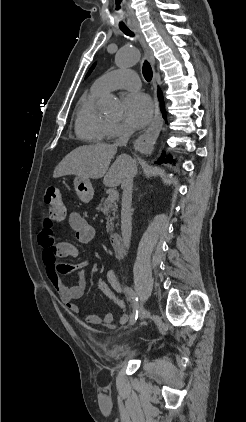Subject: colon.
<instances>
[{"label":"colon","mask_w":246,"mask_h":422,"mask_svg":"<svg viewBox=\"0 0 246 422\" xmlns=\"http://www.w3.org/2000/svg\"><path fill=\"white\" fill-rule=\"evenodd\" d=\"M44 199L49 206L51 218L56 221L62 220L65 216V207L61 190L55 186H49Z\"/></svg>","instance_id":"colon-1"}]
</instances>
